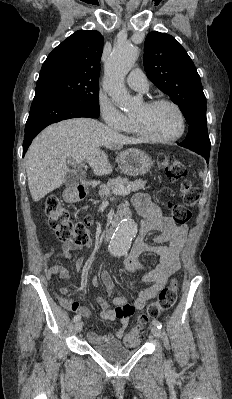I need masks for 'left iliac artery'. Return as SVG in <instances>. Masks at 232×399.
I'll list each match as a JSON object with an SVG mask.
<instances>
[{
	"mask_svg": "<svg viewBox=\"0 0 232 399\" xmlns=\"http://www.w3.org/2000/svg\"><path fill=\"white\" fill-rule=\"evenodd\" d=\"M152 324L157 327L158 329H162V323L158 320H153Z\"/></svg>",
	"mask_w": 232,
	"mask_h": 399,
	"instance_id": "obj_1",
	"label": "left iliac artery"
}]
</instances>
